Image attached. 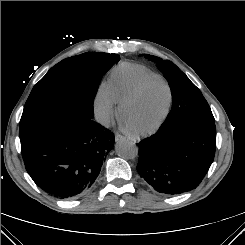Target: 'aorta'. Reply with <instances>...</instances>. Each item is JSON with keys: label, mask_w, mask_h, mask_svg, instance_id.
Returning a JSON list of instances; mask_svg holds the SVG:
<instances>
[{"label": "aorta", "mask_w": 245, "mask_h": 245, "mask_svg": "<svg viewBox=\"0 0 245 245\" xmlns=\"http://www.w3.org/2000/svg\"><path fill=\"white\" fill-rule=\"evenodd\" d=\"M115 150L124 159H134L138 156V147L127 139L119 140L115 145Z\"/></svg>", "instance_id": "1"}]
</instances>
